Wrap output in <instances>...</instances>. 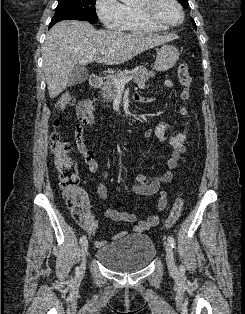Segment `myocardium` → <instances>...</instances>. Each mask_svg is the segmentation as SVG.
I'll use <instances>...</instances> for the list:
<instances>
[{"instance_id": "myocardium-1", "label": "myocardium", "mask_w": 245, "mask_h": 314, "mask_svg": "<svg viewBox=\"0 0 245 314\" xmlns=\"http://www.w3.org/2000/svg\"><path fill=\"white\" fill-rule=\"evenodd\" d=\"M172 2L176 4L181 13V21L178 23H169L158 17V15L156 14V8L159 0H139L137 8L139 14L145 21L152 23L158 27L168 29L179 26L185 19V12L179 0H172Z\"/></svg>"}]
</instances>
